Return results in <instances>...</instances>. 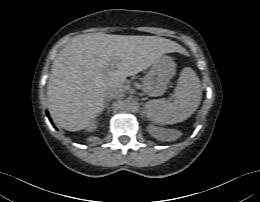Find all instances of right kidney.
<instances>
[{
    "label": "right kidney",
    "instance_id": "ca27d5eb",
    "mask_svg": "<svg viewBox=\"0 0 260 202\" xmlns=\"http://www.w3.org/2000/svg\"><path fill=\"white\" fill-rule=\"evenodd\" d=\"M95 127H96V126H95V122H92V124L89 126L88 129H89V130H90V129H94Z\"/></svg>",
    "mask_w": 260,
    "mask_h": 202
}]
</instances>
